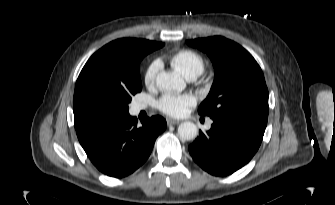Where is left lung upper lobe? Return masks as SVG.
Here are the masks:
<instances>
[{
	"label": "left lung upper lobe",
	"mask_w": 335,
	"mask_h": 205,
	"mask_svg": "<svg viewBox=\"0 0 335 205\" xmlns=\"http://www.w3.org/2000/svg\"><path fill=\"white\" fill-rule=\"evenodd\" d=\"M210 57L215 78L209 95L200 104L202 116L239 118L266 127L268 89L263 72L252 55L221 36L188 40Z\"/></svg>",
	"instance_id": "1"
}]
</instances>
